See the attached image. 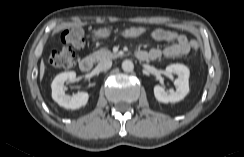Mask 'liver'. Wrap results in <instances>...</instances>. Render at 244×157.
Returning <instances> with one entry per match:
<instances>
[{
    "label": "liver",
    "mask_w": 244,
    "mask_h": 157,
    "mask_svg": "<svg viewBox=\"0 0 244 157\" xmlns=\"http://www.w3.org/2000/svg\"><path fill=\"white\" fill-rule=\"evenodd\" d=\"M44 73H45V64H44V62L42 60L41 63H40V80H42V78L44 76Z\"/></svg>",
    "instance_id": "obj_1"
}]
</instances>
